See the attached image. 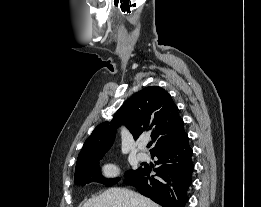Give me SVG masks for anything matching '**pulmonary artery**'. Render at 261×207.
Listing matches in <instances>:
<instances>
[{
  "label": "pulmonary artery",
  "mask_w": 261,
  "mask_h": 207,
  "mask_svg": "<svg viewBox=\"0 0 261 207\" xmlns=\"http://www.w3.org/2000/svg\"><path fill=\"white\" fill-rule=\"evenodd\" d=\"M143 148H144V145H141L140 149H143ZM138 158L142 161H146V160L149 159V156L144 152H140L139 155H138Z\"/></svg>",
  "instance_id": "pulmonary-artery-1"
}]
</instances>
